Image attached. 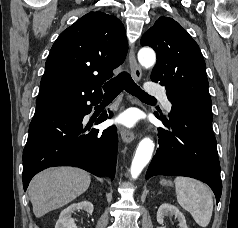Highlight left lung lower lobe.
I'll return each mask as SVG.
<instances>
[{"mask_svg": "<svg viewBox=\"0 0 238 228\" xmlns=\"http://www.w3.org/2000/svg\"><path fill=\"white\" fill-rule=\"evenodd\" d=\"M171 103L168 116L155 112L169 130L158 131L159 148L149 165L146 179L155 175L195 178L211 187L218 203L222 183L212 130L213 117Z\"/></svg>", "mask_w": 238, "mask_h": 228, "instance_id": "left-lung-lower-lobe-1", "label": "left lung lower lobe"}]
</instances>
